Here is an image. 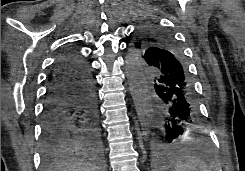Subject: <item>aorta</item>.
<instances>
[{"label": "aorta", "mask_w": 245, "mask_h": 171, "mask_svg": "<svg viewBox=\"0 0 245 171\" xmlns=\"http://www.w3.org/2000/svg\"><path fill=\"white\" fill-rule=\"evenodd\" d=\"M139 61L134 52L128 53L126 57V76L130 86L133 100L140 118L143 135H149L148 127L153 122V101L154 94L149 82L142 74V67H134L133 63Z\"/></svg>", "instance_id": "obj_1"}]
</instances>
